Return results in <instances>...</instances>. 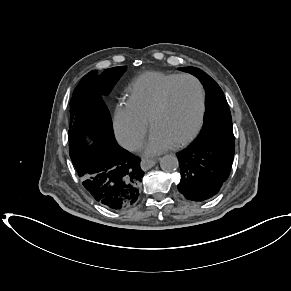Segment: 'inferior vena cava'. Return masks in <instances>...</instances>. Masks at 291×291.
<instances>
[{
	"instance_id": "obj_1",
	"label": "inferior vena cava",
	"mask_w": 291,
	"mask_h": 291,
	"mask_svg": "<svg viewBox=\"0 0 291 291\" xmlns=\"http://www.w3.org/2000/svg\"><path fill=\"white\" fill-rule=\"evenodd\" d=\"M123 146L131 151L139 150L142 147V140L139 138L126 141Z\"/></svg>"
}]
</instances>
